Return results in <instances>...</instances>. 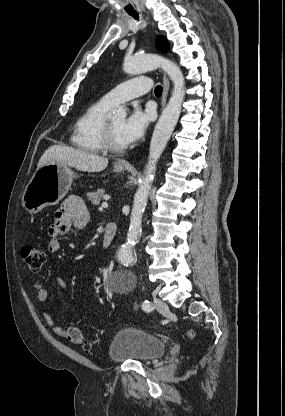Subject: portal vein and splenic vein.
<instances>
[{
    "mask_svg": "<svg viewBox=\"0 0 285 416\" xmlns=\"http://www.w3.org/2000/svg\"><path fill=\"white\" fill-rule=\"evenodd\" d=\"M102 208H108L107 202H102L101 208H99V210H102Z\"/></svg>",
    "mask_w": 285,
    "mask_h": 416,
    "instance_id": "18ae733b",
    "label": "portal vein and splenic vein"
}]
</instances>
